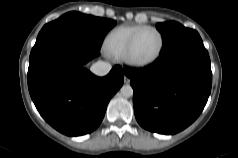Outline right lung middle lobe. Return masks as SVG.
<instances>
[{"label": "right lung middle lobe", "mask_w": 238, "mask_h": 158, "mask_svg": "<svg viewBox=\"0 0 238 158\" xmlns=\"http://www.w3.org/2000/svg\"><path fill=\"white\" fill-rule=\"evenodd\" d=\"M115 23L114 20L94 17L76 11L68 12L57 20L46 24L38 34L37 39L51 32H67L100 49L106 33Z\"/></svg>", "instance_id": "obj_1"}]
</instances>
